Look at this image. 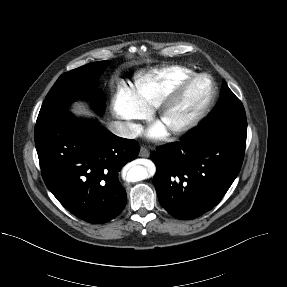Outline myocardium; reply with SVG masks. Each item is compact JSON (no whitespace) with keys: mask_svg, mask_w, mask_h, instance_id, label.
Segmentation results:
<instances>
[{"mask_svg":"<svg viewBox=\"0 0 287 287\" xmlns=\"http://www.w3.org/2000/svg\"><path fill=\"white\" fill-rule=\"evenodd\" d=\"M206 79L209 82L210 91L204 103L189 117L175 124H169L166 128L170 135L179 136L194 129L211 111L217 97V87L213 78L206 73H194L185 78L163 101L157 106L156 121H165L168 114L177 106L188 88L196 81Z\"/></svg>","mask_w":287,"mask_h":287,"instance_id":"1","label":"myocardium"}]
</instances>
